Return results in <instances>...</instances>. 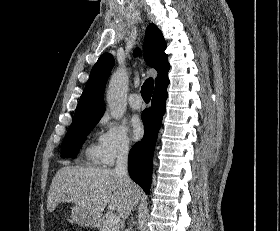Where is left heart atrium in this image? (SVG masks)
I'll list each match as a JSON object with an SVG mask.
<instances>
[{"mask_svg":"<svg viewBox=\"0 0 280 231\" xmlns=\"http://www.w3.org/2000/svg\"><path fill=\"white\" fill-rule=\"evenodd\" d=\"M128 129L133 140H139L144 134V125L138 116L130 119Z\"/></svg>","mask_w":280,"mask_h":231,"instance_id":"obj_1","label":"left heart atrium"}]
</instances>
